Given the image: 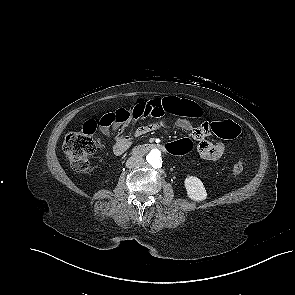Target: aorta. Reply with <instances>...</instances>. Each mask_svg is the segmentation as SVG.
I'll return each mask as SVG.
<instances>
[{"instance_id":"762f6f07","label":"aorta","mask_w":295,"mask_h":295,"mask_svg":"<svg viewBox=\"0 0 295 295\" xmlns=\"http://www.w3.org/2000/svg\"><path fill=\"white\" fill-rule=\"evenodd\" d=\"M147 162L153 167V168H161L162 167V158L161 154L158 150H152L146 157Z\"/></svg>"}]
</instances>
